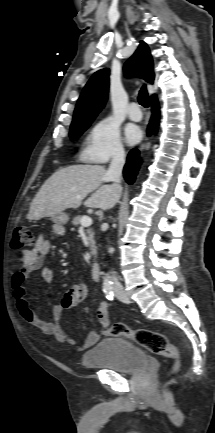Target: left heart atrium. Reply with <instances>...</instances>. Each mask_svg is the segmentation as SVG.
Masks as SVG:
<instances>
[{"label":"left heart atrium","mask_w":215,"mask_h":433,"mask_svg":"<svg viewBox=\"0 0 215 433\" xmlns=\"http://www.w3.org/2000/svg\"><path fill=\"white\" fill-rule=\"evenodd\" d=\"M142 136L140 128L136 125H128L125 128V137L129 144H136Z\"/></svg>","instance_id":"obj_1"}]
</instances>
